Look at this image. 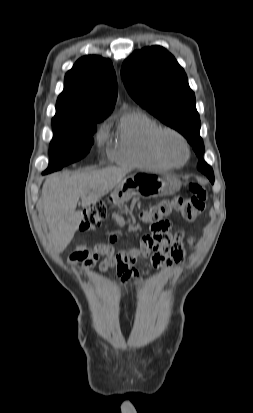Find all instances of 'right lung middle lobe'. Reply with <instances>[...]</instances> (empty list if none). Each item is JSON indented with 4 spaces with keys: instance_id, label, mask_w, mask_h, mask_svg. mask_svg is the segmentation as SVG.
<instances>
[{
    "instance_id": "dd1d6c3e",
    "label": "right lung middle lobe",
    "mask_w": 253,
    "mask_h": 413,
    "mask_svg": "<svg viewBox=\"0 0 253 413\" xmlns=\"http://www.w3.org/2000/svg\"><path fill=\"white\" fill-rule=\"evenodd\" d=\"M104 118H53L54 136L50 143L49 166L43 174L57 171L85 157L93 144L96 123Z\"/></svg>"
}]
</instances>
